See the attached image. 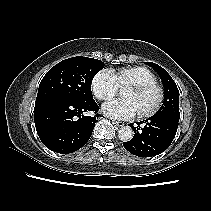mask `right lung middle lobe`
<instances>
[{
	"label": "right lung middle lobe",
	"instance_id": "1",
	"mask_svg": "<svg viewBox=\"0 0 211 211\" xmlns=\"http://www.w3.org/2000/svg\"><path fill=\"white\" fill-rule=\"evenodd\" d=\"M103 67L102 61L82 56L61 61L43 77L36 101L57 99L87 102L93 100L91 83Z\"/></svg>",
	"mask_w": 211,
	"mask_h": 211
}]
</instances>
